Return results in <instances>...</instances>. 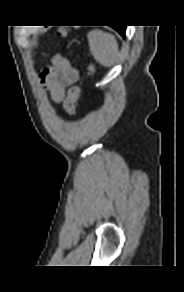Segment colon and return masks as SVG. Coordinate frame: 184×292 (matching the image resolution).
Masks as SVG:
<instances>
[{
  "label": "colon",
  "mask_w": 184,
  "mask_h": 292,
  "mask_svg": "<svg viewBox=\"0 0 184 292\" xmlns=\"http://www.w3.org/2000/svg\"><path fill=\"white\" fill-rule=\"evenodd\" d=\"M64 31H60V34H64ZM90 72H94V67H89ZM81 95V89L78 86H72L68 89L63 105L65 110L69 114H75L77 112L78 101Z\"/></svg>",
  "instance_id": "colon-1"
}]
</instances>
